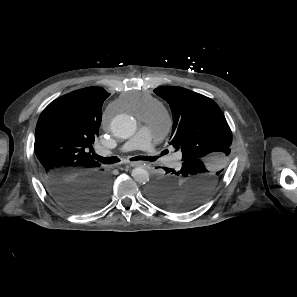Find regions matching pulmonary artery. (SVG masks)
Returning <instances> with one entry per match:
<instances>
[{
    "label": "pulmonary artery",
    "instance_id": "pulmonary-artery-1",
    "mask_svg": "<svg viewBox=\"0 0 297 297\" xmlns=\"http://www.w3.org/2000/svg\"><path fill=\"white\" fill-rule=\"evenodd\" d=\"M169 122L168 117L164 120L153 118L147 120L136 136L129 140L122 149L127 152L141 149L148 154H156L157 150L153 144V139L162 132ZM174 160H177V158Z\"/></svg>",
    "mask_w": 297,
    "mask_h": 297
}]
</instances>
